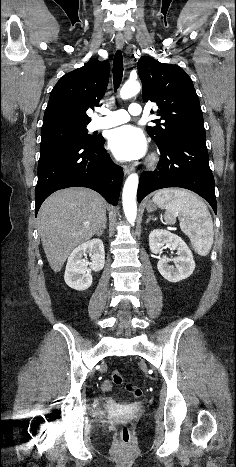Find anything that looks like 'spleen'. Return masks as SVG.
<instances>
[{"mask_svg":"<svg viewBox=\"0 0 236 467\" xmlns=\"http://www.w3.org/2000/svg\"><path fill=\"white\" fill-rule=\"evenodd\" d=\"M153 201L166 210V224H175L179 217L180 228L190 238L197 254L206 256L209 253L213 244V222L202 199L187 190L167 188L156 192Z\"/></svg>","mask_w":236,"mask_h":467,"instance_id":"spleen-1","label":"spleen"}]
</instances>
